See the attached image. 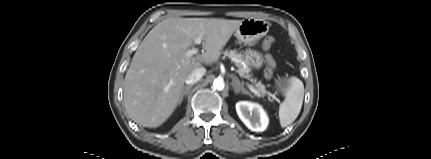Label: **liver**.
<instances>
[{
	"mask_svg": "<svg viewBox=\"0 0 431 159\" xmlns=\"http://www.w3.org/2000/svg\"><path fill=\"white\" fill-rule=\"evenodd\" d=\"M241 20L168 18L158 23L137 48L127 70L124 103L129 117L149 128L162 125L176 109L188 75L220 58ZM202 36L205 52H186Z\"/></svg>",
	"mask_w": 431,
	"mask_h": 159,
	"instance_id": "liver-1",
	"label": "liver"
}]
</instances>
